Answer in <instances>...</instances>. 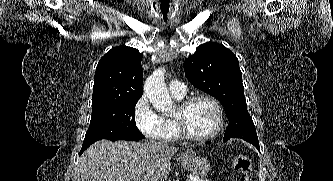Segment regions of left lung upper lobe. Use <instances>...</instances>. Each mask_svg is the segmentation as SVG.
I'll list each match as a JSON object with an SVG mask.
<instances>
[{"label":"left lung upper lobe","mask_w":333,"mask_h":181,"mask_svg":"<svg viewBox=\"0 0 333 181\" xmlns=\"http://www.w3.org/2000/svg\"><path fill=\"white\" fill-rule=\"evenodd\" d=\"M184 70L191 84L214 96L224 106L229 120L225 136H244L258 141L246 107L238 59L231 50L219 43L202 44L185 60Z\"/></svg>","instance_id":"5c2ea615"}]
</instances>
